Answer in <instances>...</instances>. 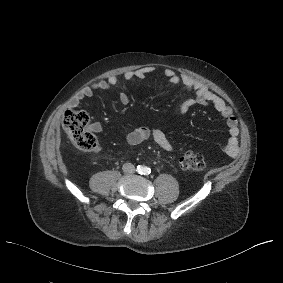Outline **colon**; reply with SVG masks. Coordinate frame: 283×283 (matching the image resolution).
Instances as JSON below:
<instances>
[{
  "label": "colon",
  "instance_id": "5ec220e1",
  "mask_svg": "<svg viewBox=\"0 0 283 283\" xmlns=\"http://www.w3.org/2000/svg\"><path fill=\"white\" fill-rule=\"evenodd\" d=\"M89 117L81 110L67 109L63 116V127L73 144L83 150L96 147V139L88 130ZM179 166L185 171L196 172L204 169V157L195 151H187L179 158Z\"/></svg>",
  "mask_w": 283,
  "mask_h": 283
}]
</instances>
